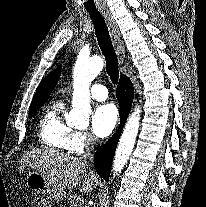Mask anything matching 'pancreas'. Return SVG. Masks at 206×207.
Wrapping results in <instances>:
<instances>
[{"instance_id":"cf45deb5","label":"pancreas","mask_w":206,"mask_h":207,"mask_svg":"<svg viewBox=\"0 0 206 207\" xmlns=\"http://www.w3.org/2000/svg\"><path fill=\"white\" fill-rule=\"evenodd\" d=\"M69 207H83V200L78 195H72L69 198Z\"/></svg>"}]
</instances>
